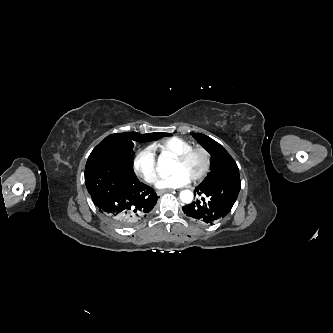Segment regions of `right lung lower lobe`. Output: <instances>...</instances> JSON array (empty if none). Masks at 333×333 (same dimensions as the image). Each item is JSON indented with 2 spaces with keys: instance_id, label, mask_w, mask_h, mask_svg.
Masks as SVG:
<instances>
[{
  "instance_id": "right-lung-lower-lobe-1",
  "label": "right lung lower lobe",
  "mask_w": 333,
  "mask_h": 333,
  "mask_svg": "<svg viewBox=\"0 0 333 333\" xmlns=\"http://www.w3.org/2000/svg\"><path fill=\"white\" fill-rule=\"evenodd\" d=\"M85 184L99 212L119 228L143 220L158 200L154 189L140 182L134 171L111 162L87 163Z\"/></svg>"
}]
</instances>
